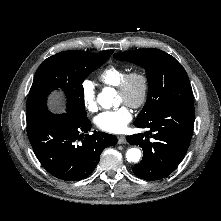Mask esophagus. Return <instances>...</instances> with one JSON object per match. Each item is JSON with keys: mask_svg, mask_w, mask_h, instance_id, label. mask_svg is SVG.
Returning a JSON list of instances; mask_svg holds the SVG:
<instances>
[{"mask_svg": "<svg viewBox=\"0 0 221 221\" xmlns=\"http://www.w3.org/2000/svg\"><path fill=\"white\" fill-rule=\"evenodd\" d=\"M118 143L119 144H126L127 143L126 137L123 135L118 136Z\"/></svg>", "mask_w": 221, "mask_h": 221, "instance_id": "esophagus-1", "label": "esophagus"}]
</instances>
